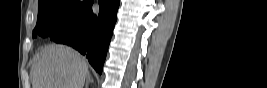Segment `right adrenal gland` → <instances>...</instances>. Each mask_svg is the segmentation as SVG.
Wrapping results in <instances>:
<instances>
[{"instance_id":"1","label":"right adrenal gland","mask_w":267,"mask_h":88,"mask_svg":"<svg viewBox=\"0 0 267 88\" xmlns=\"http://www.w3.org/2000/svg\"><path fill=\"white\" fill-rule=\"evenodd\" d=\"M93 81H94V80L91 78V74L88 73V74H87V77H86L85 88H88V84H89L90 82H93Z\"/></svg>"}]
</instances>
